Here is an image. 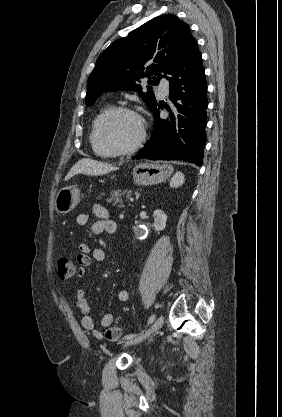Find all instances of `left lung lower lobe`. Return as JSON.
I'll return each instance as SVG.
<instances>
[{
	"label": "left lung lower lobe",
	"instance_id": "0a47b994",
	"mask_svg": "<svg viewBox=\"0 0 282 417\" xmlns=\"http://www.w3.org/2000/svg\"><path fill=\"white\" fill-rule=\"evenodd\" d=\"M170 77L169 99L174 103V112L165 107L170 121L159 117V104L151 109L155 124L151 139L132 159L184 160L202 165L206 143L207 82L201 53L196 40L191 41L181 52L168 71Z\"/></svg>",
	"mask_w": 282,
	"mask_h": 417
}]
</instances>
